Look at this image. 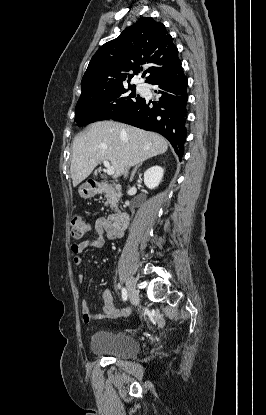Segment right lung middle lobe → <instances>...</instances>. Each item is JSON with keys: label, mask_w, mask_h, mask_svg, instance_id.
Here are the masks:
<instances>
[{"label": "right lung middle lobe", "mask_w": 266, "mask_h": 415, "mask_svg": "<svg viewBox=\"0 0 266 415\" xmlns=\"http://www.w3.org/2000/svg\"><path fill=\"white\" fill-rule=\"evenodd\" d=\"M132 92L127 93L120 86L90 97L79 99L75 108V122L84 126L96 121L112 119L137 105L142 98L135 93V85L130 86Z\"/></svg>", "instance_id": "dd1d6c3e"}]
</instances>
